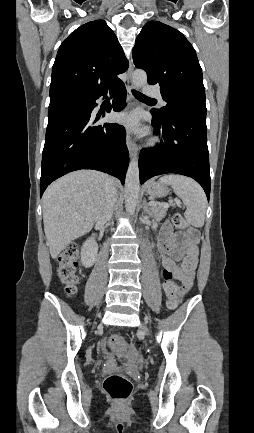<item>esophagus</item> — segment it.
Returning a JSON list of instances; mask_svg holds the SVG:
<instances>
[{
  "label": "esophagus",
  "instance_id": "esophagus-1",
  "mask_svg": "<svg viewBox=\"0 0 254 433\" xmlns=\"http://www.w3.org/2000/svg\"><path fill=\"white\" fill-rule=\"evenodd\" d=\"M133 63L132 61L130 62L129 68L127 70V81H126V89H127V96L129 101L133 100V94H132V90L134 89V84L132 82V74H133ZM126 144H127V148L129 150V153L131 155H133V153L136 151V144L134 143V141L132 140V137L127 134L126 136Z\"/></svg>",
  "mask_w": 254,
  "mask_h": 433
}]
</instances>
